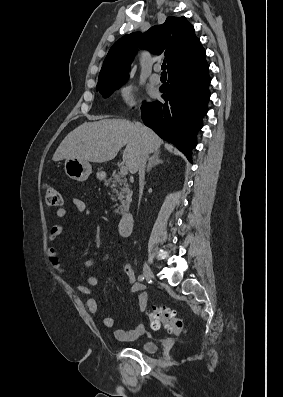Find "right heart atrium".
<instances>
[{
  "instance_id": "1",
  "label": "right heart atrium",
  "mask_w": 283,
  "mask_h": 397,
  "mask_svg": "<svg viewBox=\"0 0 283 397\" xmlns=\"http://www.w3.org/2000/svg\"><path fill=\"white\" fill-rule=\"evenodd\" d=\"M117 100L124 109H133L139 102V91L135 84L125 83L118 88Z\"/></svg>"
}]
</instances>
